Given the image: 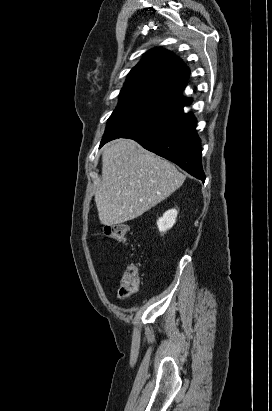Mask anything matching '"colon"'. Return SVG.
<instances>
[{
    "instance_id": "5ec220e1",
    "label": "colon",
    "mask_w": 272,
    "mask_h": 411,
    "mask_svg": "<svg viewBox=\"0 0 272 411\" xmlns=\"http://www.w3.org/2000/svg\"><path fill=\"white\" fill-rule=\"evenodd\" d=\"M104 235L117 242H126L128 237V227L124 224H110L104 227ZM140 284L139 268L130 264L126 267L119 286V296L121 298H128L134 295Z\"/></svg>"
}]
</instances>
